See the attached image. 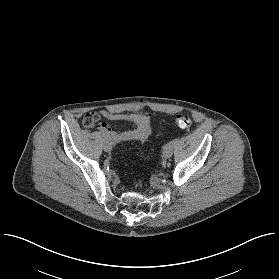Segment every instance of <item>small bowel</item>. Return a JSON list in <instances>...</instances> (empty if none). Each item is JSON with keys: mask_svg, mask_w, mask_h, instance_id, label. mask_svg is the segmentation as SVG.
Instances as JSON below:
<instances>
[{"mask_svg": "<svg viewBox=\"0 0 279 279\" xmlns=\"http://www.w3.org/2000/svg\"><path fill=\"white\" fill-rule=\"evenodd\" d=\"M99 119L109 121H125L135 125V128L129 131H117L112 129L109 124L101 123L99 129L102 133L108 135V138L114 143L145 141L152 133L151 117L145 114H124L108 110H100L97 113L87 114L84 118V125L92 127Z\"/></svg>", "mask_w": 279, "mask_h": 279, "instance_id": "c3829d8e", "label": "small bowel"}]
</instances>
